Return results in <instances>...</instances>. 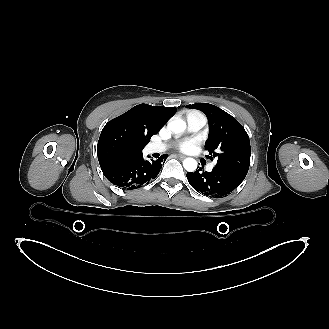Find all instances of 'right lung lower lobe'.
Returning <instances> with one entry per match:
<instances>
[{
    "label": "right lung lower lobe",
    "mask_w": 329,
    "mask_h": 329,
    "mask_svg": "<svg viewBox=\"0 0 329 329\" xmlns=\"http://www.w3.org/2000/svg\"><path fill=\"white\" fill-rule=\"evenodd\" d=\"M167 155H162L158 160H145L142 156L136 157L126 163L102 169L105 177L114 185L133 190L148 184L154 179ZM164 160V161H163Z\"/></svg>",
    "instance_id": "1"
}]
</instances>
